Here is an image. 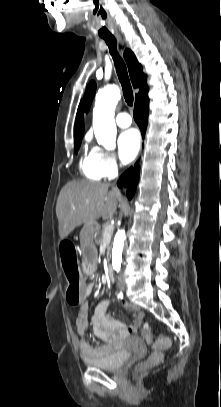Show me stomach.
<instances>
[{
	"label": "stomach",
	"instance_id": "stomach-1",
	"mask_svg": "<svg viewBox=\"0 0 221 407\" xmlns=\"http://www.w3.org/2000/svg\"><path fill=\"white\" fill-rule=\"evenodd\" d=\"M95 257H89L87 248H82V270L85 274H89L95 266Z\"/></svg>",
	"mask_w": 221,
	"mask_h": 407
}]
</instances>
